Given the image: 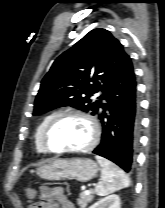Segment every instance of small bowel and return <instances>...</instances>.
I'll use <instances>...</instances> for the list:
<instances>
[{
	"label": "small bowel",
	"mask_w": 165,
	"mask_h": 208,
	"mask_svg": "<svg viewBox=\"0 0 165 208\" xmlns=\"http://www.w3.org/2000/svg\"><path fill=\"white\" fill-rule=\"evenodd\" d=\"M28 208H75V206L68 199L63 188L42 186L40 201L30 204Z\"/></svg>",
	"instance_id": "c3829d8e"
}]
</instances>
